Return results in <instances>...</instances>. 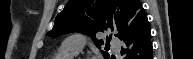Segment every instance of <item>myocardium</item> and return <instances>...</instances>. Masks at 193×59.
I'll use <instances>...</instances> for the list:
<instances>
[{
  "label": "myocardium",
  "mask_w": 193,
  "mask_h": 59,
  "mask_svg": "<svg viewBox=\"0 0 193 59\" xmlns=\"http://www.w3.org/2000/svg\"><path fill=\"white\" fill-rule=\"evenodd\" d=\"M73 59H84V58H81V57H76V58H73Z\"/></svg>",
  "instance_id": "1"
}]
</instances>
